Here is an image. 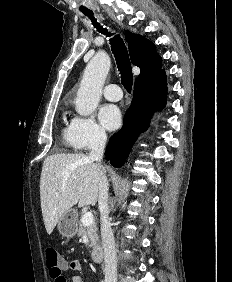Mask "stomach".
Listing matches in <instances>:
<instances>
[{
  "mask_svg": "<svg viewBox=\"0 0 232 282\" xmlns=\"http://www.w3.org/2000/svg\"><path fill=\"white\" fill-rule=\"evenodd\" d=\"M77 212L69 209L60 217L57 223V229L62 237L70 239L74 237L78 230Z\"/></svg>",
  "mask_w": 232,
  "mask_h": 282,
  "instance_id": "obj_1",
  "label": "stomach"
}]
</instances>
